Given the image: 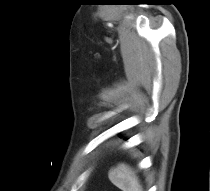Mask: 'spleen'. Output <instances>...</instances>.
I'll return each instance as SVG.
<instances>
[{
    "label": "spleen",
    "mask_w": 210,
    "mask_h": 191,
    "mask_svg": "<svg viewBox=\"0 0 210 191\" xmlns=\"http://www.w3.org/2000/svg\"><path fill=\"white\" fill-rule=\"evenodd\" d=\"M108 177L112 184L122 191H143L137 176L125 164H119L115 169L110 170Z\"/></svg>",
    "instance_id": "1"
}]
</instances>
